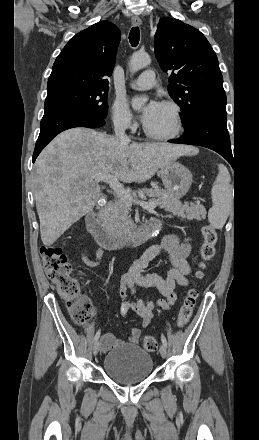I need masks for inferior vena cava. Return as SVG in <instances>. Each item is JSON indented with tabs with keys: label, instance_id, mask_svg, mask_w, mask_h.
<instances>
[{
	"label": "inferior vena cava",
	"instance_id": "1",
	"mask_svg": "<svg viewBox=\"0 0 259 440\" xmlns=\"http://www.w3.org/2000/svg\"><path fill=\"white\" fill-rule=\"evenodd\" d=\"M126 127L123 123H116L114 125L115 138L119 139L123 143H129L130 139L125 133Z\"/></svg>",
	"mask_w": 259,
	"mask_h": 440
}]
</instances>
